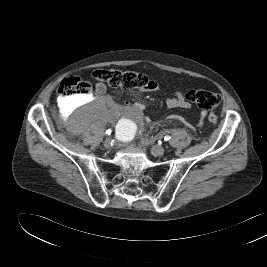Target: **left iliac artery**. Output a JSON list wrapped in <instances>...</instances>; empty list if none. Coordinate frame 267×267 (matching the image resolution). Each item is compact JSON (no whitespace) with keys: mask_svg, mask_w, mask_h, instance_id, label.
<instances>
[{"mask_svg":"<svg viewBox=\"0 0 267 267\" xmlns=\"http://www.w3.org/2000/svg\"><path fill=\"white\" fill-rule=\"evenodd\" d=\"M170 138H171V137H170L169 135H166V136L164 137V140H165V141H168V140H170Z\"/></svg>","mask_w":267,"mask_h":267,"instance_id":"44dca946","label":"left iliac artery"}]
</instances>
